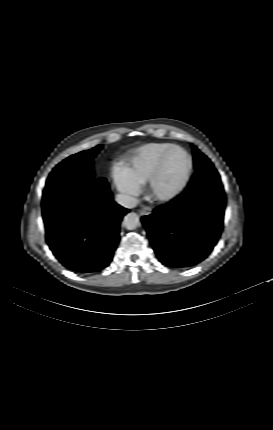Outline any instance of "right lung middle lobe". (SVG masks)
<instances>
[{"label": "right lung middle lobe", "mask_w": 273, "mask_h": 430, "mask_svg": "<svg viewBox=\"0 0 273 430\" xmlns=\"http://www.w3.org/2000/svg\"><path fill=\"white\" fill-rule=\"evenodd\" d=\"M102 145L72 155L59 163L49 175L43 191V199L55 195L68 187L83 185L94 178L91 160L100 151Z\"/></svg>", "instance_id": "1"}]
</instances>
